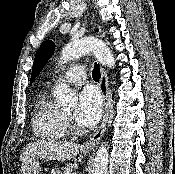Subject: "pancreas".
Instances as JSON below:
<instances>
[{
    "label": "pancreas",
    "mask_w": 175,
    "mask_h": 174,
    "mask_svg": "<svg viewBox=\"0 0 175 174\" xmlns=\"http://www.w3.org/2000/svg\"><path fill=\"white\" fill-rule=\"evenodd\" d=\"M74 165L72 163L67 164L65 167L62 168L63 174H74L73 173ZM52 174H59L57 171H53Z\"/></svg>",
    "instance_id": "pancreas-1"
}]
</instances>
